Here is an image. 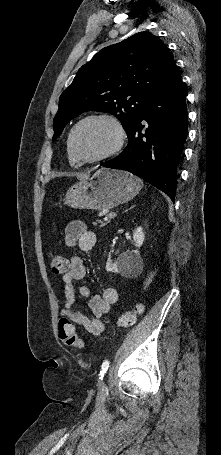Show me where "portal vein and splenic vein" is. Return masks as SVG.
I'll use <instances>...</instances> for the list:
<instances>
[{
	"label": "portal vein and splenic vein",
	"instance_id": "obj_1",
	"mask_svg": "<svg viewBox=\"0 0 221 455\" xmlns=\"http://www.w3.org/2000/svg\"><path fill=\"white\" fill-rule=\"evenodd\" d=\"M110 218H111V216H109V217L105 216L104 221L107 222V221H109Z\"/></svg>",
	"mask_w": 221,
	"mask_h": 455
}]
</instances>
